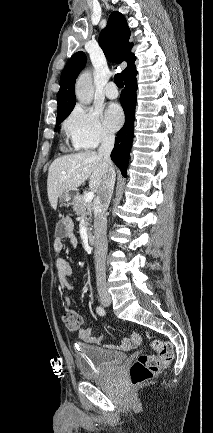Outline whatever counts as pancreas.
<instances>
[{
    "mask_svg": "<svg viewBox=\"0 0 213 433\" xmlns=\"http://www.w3.org/2000/svg\"><path fill=\"white\" fill-rule=\"evenodd\" d=\"M73 209L75 211V214L78 216H82L85 219V225L88 227V234L91 236V227H90V221L92 219V203L91 202H85L84 196L79 195L74 198V204Z\"/></svg>",
    "mask_w": 213,
    "mask_h": 433,
    "instance_id": "obj_1",
    "label": "pancreas"
}]
</instances>
